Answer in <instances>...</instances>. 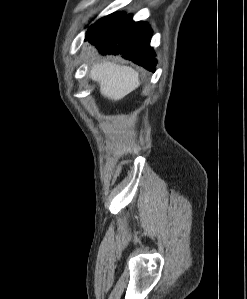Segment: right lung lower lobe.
<instances>
[{
	"instance_id": "obj_1",
	"label": "right lung lower lobe",
	"mask_w": 247,
	"mask_h": 299,
	"mask_svg": "<svg viewBox=\"0 0 247 299\" xmlns=\"http://www.w3.org/2000/svg\"><path fill=\"white\" fill-rule=\"evenodd\" d=\"M152 30L147 23L134 22L125 15L119 22L94 34L86 40L96 45L102 54H120L149 71H155L156 58L150 39Z\"/></svg>"
}]
</instances>
